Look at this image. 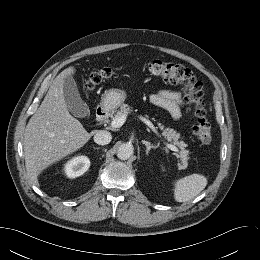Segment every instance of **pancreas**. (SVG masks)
<instances>
[{"mask_svg": "<svg viewBox=\"0 0 260 260\" xmlns=\"http://www.w3.org/2000/svg\"><path fill=\"white\" fill-rule=\"evenodd\" d=\"M132 108L128 104H121L120 109L117 111L115 118L121 115H128L132 112ZM158 127L162 130V135L169 141L172 142L174 145H177L181 151L179 153V158L181 159V163L179 165L180 169H185L188 165V153L189 151L185 149L186 144L183 141H178L180 138V134L177 133L172 128H165V126L161 123H158Z\"/></svg>", "mask_w": 260, "mask_h": 260, "instance_id": "obj_1", "label": "pancreas"}]
</instances>
